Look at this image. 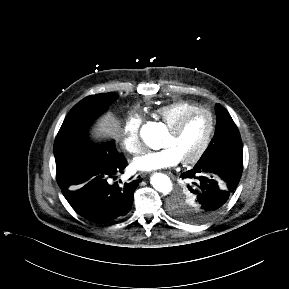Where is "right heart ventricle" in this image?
<instances>
[{
	"mask_svg": "<svg viewBox=\"0 0 289 289\" xmlns=\"http://www.w3.org/2000/svg\"><path fill=\"white\" fill-rule=\"evenodd\" d=\"M198 106L185 100L174 101L156 108L153 111L154 117L162 121L167 127L173 125L184 113Z\"/></svg>",
	"mask_w": 289,
	"mask_h": 289,
	"instance_id": "obj_1",
	"label": "right heart ventricle"
}]
</instances>
